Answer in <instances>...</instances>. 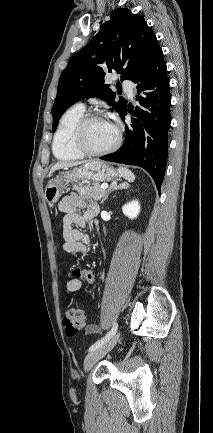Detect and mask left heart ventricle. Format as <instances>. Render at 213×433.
I'll list each match as a JSON object with an SVG mask.
<instances>
[{"label": "left heart ventricle", "mask_w": 213, "mask_h": 433, "mask_svg": "<svg viewBox=\"0 0 213 433\" xmlns=\"http://www.w3.org/2000/svg\"><path fill=\"white\" fill-rule=\"evenodd\" d=\"M117 133L114 125L107 120H93L85 130L86 145L95 151H101L112 146Z\"/></svg>", "instance_id": "1"}]
</instances>
